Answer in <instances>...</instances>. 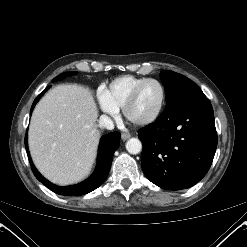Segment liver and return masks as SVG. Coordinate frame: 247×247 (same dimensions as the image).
<instances>
[{"label": "liver", "instance_id": "obj_1", "mask_svg": "<svg viewBox=\"0 0 247 247\" xmlns=\"http://www.w3.org/2000/svg\"><path fill=\"white\" fill-rule=\"evenodd\" d=\"M91 91L79 85H58L36 105L28 143L40 173L58 185L81 181L91 171L100 132Z\"/></svg>", "mask_w": 247, "mask_h": 247}]
</instances>
